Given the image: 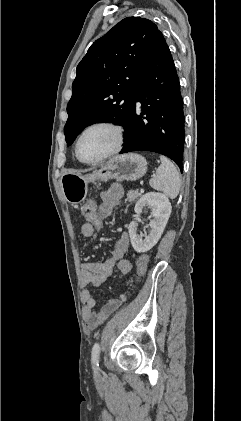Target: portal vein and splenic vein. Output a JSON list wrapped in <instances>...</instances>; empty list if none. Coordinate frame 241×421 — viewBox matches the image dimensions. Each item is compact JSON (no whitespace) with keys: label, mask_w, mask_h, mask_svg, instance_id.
<instances>
[{"label":"portal vein and splenic vein","mask_w":241,"mask_h":421,"mask_svg":"<svg viewBox=\"0 0 241 421\" xmlns=\"http://www.w3.org/2000/svg\"><path fill=\"white\" fill-rule=\"evenodd\" d=\"M140 192L143 193L144 192V189H140Z\"/></svg>","instance_id":"1"}]
</instances>
